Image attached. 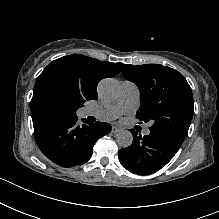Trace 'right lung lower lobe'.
<instances>
[{
    "instance_id": "right-lung-lower-lobe-1",
    "label": "right lung lower lobe",
    "mask_w": 219,
    "mask_h": 219,
    "mask_svg": "<svg viewBox=\"0 0 219 219\" xmlns=\"http://www.w3.org/2000/svg\"><path fill=\"white\" fill-rule=\"evenodd\" d=\"M34 136L42 153L62 167L86 163L92 156L95 142L111 131L108 123L79 125L75 115L64 116L53 111L31 112Z\"/></svg>"
}]
</instances>
